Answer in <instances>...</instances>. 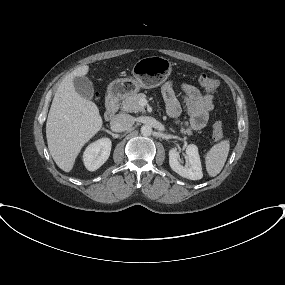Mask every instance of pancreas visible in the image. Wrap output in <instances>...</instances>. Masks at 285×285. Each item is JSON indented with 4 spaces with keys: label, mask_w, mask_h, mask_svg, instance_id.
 Instances as JSON below:
<instances>
[{
    "label": "pancreas",
    "mask_w": 285,
    "mask_h": 285,
    "mask_svg": "<svg viewBox=\"0 0 285 285\" xmlns=\"http://www.w3.org/2000/svg\"><path fill=\"white\" fill-rule=\"evenodd\" d=\"M146 99V95L144 93H135L132 95L127 96L121 103V110L130 113H137V112H144L145 109L143 106L140 105V100ZM188 125L187 122L184 123ZM182 134L192 135V131L190 128H181Z\"/></svg>",
    "instance_id": "pancreas-1"
}]
</instances>
